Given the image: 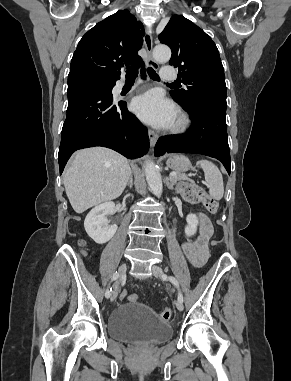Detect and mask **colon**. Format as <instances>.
Here are the masks:
<instances>
[{
	"label": "colon",
	"instance_id": "colon-1",
	"mask_svg": "<svg viewBox=\"0 0 291 381\" xmlns=\"http://www.w3.org/2000/svg\"><path fill=\"white\" fill-rule=\"evenodd\" d=\"M179 191L187 201L191 203H202L209 213H217L219 209L217 200L209 196L200 185L194 183H183L180 185ZM213 244H215V242ZM120 298H127L131 302L138 301V296L136 294L132 293L127 295L125 291L120 293ZM171 315V309L165 308L160 312L159 317L164 321H168L171 318Z\"/></svg>",
	"mask_w": 291,
	"mask_h": 381
}]
</instances>
